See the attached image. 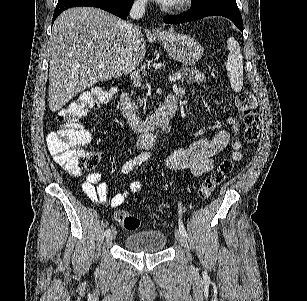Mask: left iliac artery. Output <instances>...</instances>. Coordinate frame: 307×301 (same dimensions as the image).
<instances>
[{"label":"left iliac artery","instance_id":"1","mask_svg":"<svg viewBox=\"0 0 307 301\" xmlns=\"http://www.w3.org/2000/svg\"><path fill=\"white\" fill-rule=\"evenodd\" d=\"M179 208H180L179 213L181 214V212H182L181 203H179ZM179 230L181 231V233L183 234V236L187 238V232H186V229H185V227H184L183 222H182L181 219H179Z\"/></svg>","mask_w":307,"mask_h":301}]
</instances>
